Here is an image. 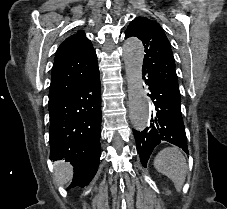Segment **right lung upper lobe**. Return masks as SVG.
<instances>
[{"instance_id":"right-lung-upper-lobe-1","label":"right lung upper lobe","mask_w":227,"mask_h":209,"mask_svg":"<svg viewBox=\"0 0 227 209\" xmlns=\"http://www.w3.org/2000/svg\"><path fill=\"white\" fill-rule=\"evenodd\" d=\"M98 65L95 50L85 33L79 30L68 37L58 48L52 68L49 102L66 95L84 81L88 72L72 73V68L84 66L87 69Z\"/></svg>"}]
</instances>
